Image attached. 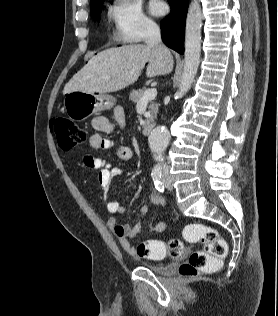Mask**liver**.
<instances>
[{"label":"liver","mask_w":278,"mask_h":316,"mask_svg":"<svg viewBox=\"0 0 278 316\" xmlns=\"http://www.w3.org/2000/svg\"><path fill=\"white\" fill-rule=\"evenodd\" d=\"M146 64V76L151 78L169 74L174 61L164 45L132 44L107 49L93 56L70 79L63 94L73 91L88 94L119 91L136 82ZM107 76L108 79L105 78Z\"/></svg>","instance_id":"liver-1"}]
</instances>
